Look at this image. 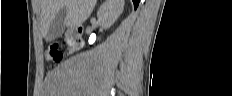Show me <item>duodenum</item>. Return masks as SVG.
<instances>
[{
	"label": "duodenum",
	"instance_id": "duodenum-1",
	"mask_svg": "<svg viewBox=\"0 0 232 96\" xmlns=\"http://www.w3.org/2000/svg\"><path fill=\"white\" fill-rule=\"evenodd\" d=\"M82 33L83 29L81 26L67 29L65 36L69 41V50L71 54L80 50L82 44Z\"/></svg>",
	"mask_w": 232,
	"mask_h": 96
}]
</instances>
